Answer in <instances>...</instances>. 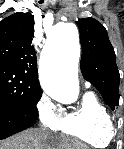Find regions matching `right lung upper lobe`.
Listing matches in <instances>:
<instances>
[{"label": "right lung upper lobe", "mask_w": 124, "mask_h": 149, "mask_svg": "<svg viewBox=\"0 0 124 149\" xmlns=\"http://www.w3.org/2000/svg\"><path fill=\"white\" fill-rule=\"evenodd\" d=\"M33 37L34 17L30 13L17 12L3 19L0 22V67L21 72L39 85Z\"/></svg>", "instance_id": "cb5924a9"}]
</instances>
